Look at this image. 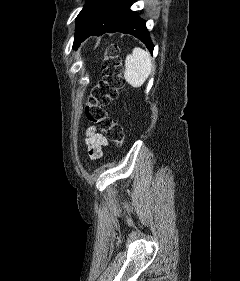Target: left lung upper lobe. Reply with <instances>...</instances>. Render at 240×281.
Instances as JSON below:
<instances>
[{
  "label": "left lung upper lobe",
  "instance_id": "left-lung-upper-lobe-1",
  "mask_svg": "<svg viewBox=\"0 0 240 281\" xmlns=\"http://www.w3.org/2000/svg\"><path fill=\"white\" fill-rule=\"evenodd\" d=\"M103 2V0H87L83 9L79 13V15L76 18V31H75V39L73 48L75 46L76 40L78 38L79 33L81 32L84 25L87 23V21L90 19V17L93 15V13L96 11V9L100 6V4Z\"/></svg>",
  "mask_w": 240,
  "mask_h": 281
}]
</instances>
